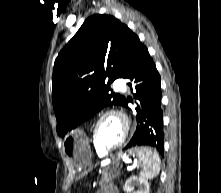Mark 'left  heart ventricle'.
Here are the masks:
<instances>
[{
  "instance_id": "left-heart-ventricle-1",
  "label": "left heart ventricle",
  "mask_w": 221,
  "mask_h": 193,
  "mask_svg": "<svg viewBox=\"0 0 221 193\" xmlns=\"http://www.w3.org/2000/svg\"><path fill=\"white\" fill-rule=\"evenodd\" d=\"M123 134V124L115 116L105 117L97 129L98 140L107 147L114 146L119 142Z\"/></svg>"
}]
</instances>
